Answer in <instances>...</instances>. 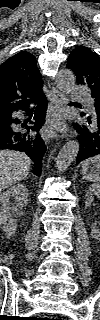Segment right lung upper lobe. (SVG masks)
Returning a JSON list of instances; mask_svg holds the SVG:
<instances>
[{"mask_svg": "<svg viewBox=\"0 0 100 320\" xmlns=\"http://www.w3.org/2000/svg\"><path fill=\"white\" fill-rule=\"evenodd\" d=\"M41 74L36 58L28 52H19L0 66V119L19 107L31 103L42 94Z\"/></svg>", "mask_w": 100, "mask_h": 320, "instance_id": "obj_1", "label": "right lung upper lobe"}]
</instances>
